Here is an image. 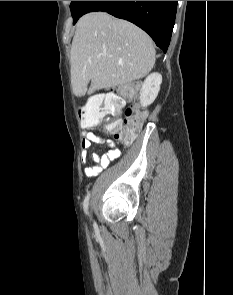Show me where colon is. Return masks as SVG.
Wrapping results in <instances>:
<instances>
[{
  "mask_svg": "<svg viewBox=\"0 0 233 295\" xmlns=\"http://www.w3.org/2000/svg\"><path fill=\"white\" fill-rule=\"evenodd\" d=\"M139 89L137 83H129L116 88L113 92L99 94L90 99L79 110L81 122L92 125L107 116H118L125 107L124 98H133ZM124 118L113 121L105 126L122 144H131L143 126L146 113L134 105L125 109Z\"/></svg>",
  "mask_w": 233,
  "mask_h": 295,
  "instance_id": "obj_1",
  "label": "colon"
}]
</instances>
